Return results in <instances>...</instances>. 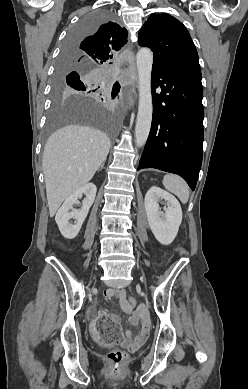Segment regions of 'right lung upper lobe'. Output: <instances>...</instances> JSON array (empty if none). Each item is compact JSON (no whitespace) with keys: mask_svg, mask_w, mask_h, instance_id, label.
<instances>
[{"mask_svg":"<svg viewBox=\"0 0 248 389\" xmlns=\"http://www.w3.org/2000/svg\"><path fill=\"white\" fill-rule=\"evenodd\" d=\"M127 30L114 22L101 24L97 30L73 43L68 49L62 51L61 67L69 64L85 66L96 69L110 64V59L119 51L127 40Z\"/></svg>","mask_w":248,"mask_h":389,"instance_id":"right-lung-upper-lobe-1","label":"right lung upper lobe"}]
</instances>
